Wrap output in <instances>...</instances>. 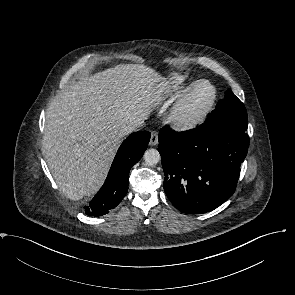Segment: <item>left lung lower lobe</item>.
<instances>
[{
    "mask_svg": "<svg viewBox=\"0 0 295 295\" xmlns=\"http://www.w3.org/2000/svg\"><path fill=\"white\" fill-rule=\"evenodd\" d=\"M158 141L164 190L177 209L201 214L232 196L248 151L246 129L206 120L196 129L184 132L165 126Z\"/></svg>",
    "mask_w": 295,
    "mask_h": 295,
    "instance_id": "left-lung-lower-lobe-1",
    "label": "left lung lower lobe"
}]
</instances>
